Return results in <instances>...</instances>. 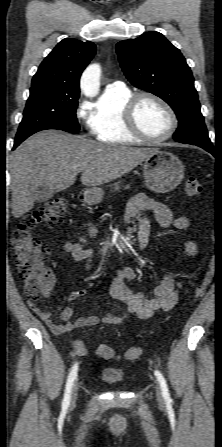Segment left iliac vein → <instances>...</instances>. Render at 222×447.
<instances>
[{"label": "left iliac vein", "mask_w": 222, "mask_h": 447, "mask_svg": "<svg viewBox=\"0 0 222 447\" xmlns=\"http://www.w3.org/2000/svg\"><path fill=\"white\" fill-rule=\"evenodd\" d=\"M156 396L159 401L162 400V395L159 387L156 388Z\"/></svg>", "instance_id": "left-iliac-vein-1"}]
</instances>
